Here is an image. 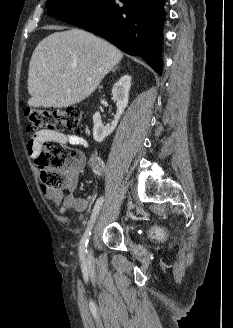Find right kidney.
I'll use <instances>...</instances> for the list:
<instances>
[{
    "mask_svg": "<svg viewBox=\"0 0 233 328\" xmlns=\"http://www.w3.org/2000/svg\"><path fill=\"white\" fill-rule=\"evenodd\" d=\"M131 86V76L124 75L119 81H117L112 89L113 98L116 101L117 112L114 120L111 122V126H104L102 124L101 116L99 112L93 115V138L97 142H102L105 137L110 135L116 128L118 121L123 114L125 108L128 105L129 90Z\"/></svg>",
    "mask_w": 233,
    "mask_h": 328,
    "instance_id": "1",
    "label": "right kidney"
}]
</instances>
